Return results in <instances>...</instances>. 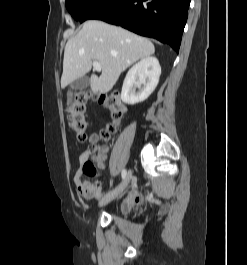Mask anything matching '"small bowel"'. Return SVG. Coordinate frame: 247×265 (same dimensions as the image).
Listing matches in <instances>:
<instances>
[{"label":"small bowel","instance_id":"1","mask_svg":"<svg viewBox=\"0 0 247 265\" xmlns=\"http://www.w3.org/2000/svg\"><path fill=\"white\" fill-rule=\"evenodd\" d=\"M106 150L102 149L101 153L99 156H97L96 159V164L99 169H105L106 165L104 163V158H105ZM89 151H84L80 157H79V164L80 167L76 171L74 177H73V182L74 185L76 186V189L78 193L86 198V199H98L101 196V189H102V181L101 180H96L94 182H89L85 180V176L88 175L84 171V166L88 162L89 159ZM142 201L141 197L139 196L137 190L133 188L125 200L121 204V211L126 213L133 209L135 206L140 204Z\"/></svg>","mask_w":247,"mask_h":265}]
</instances>
